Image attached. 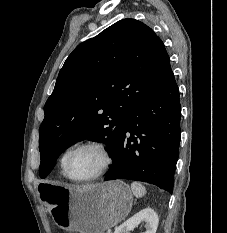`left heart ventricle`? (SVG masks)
<instances>
[{"label": "left heart ventricle", "mask_w": 227, "mask_h": 233, "mask_svg": "<svg viewBox=\"0 0 227 233\" xmlns=\"http://www.w3.org/2000/svg\"><path fill=\"white\" fill-rule=\"evenodd\" d=\"M103 156L95 148H82L76 151L69 159V172L75 179L92 176L103 165Z\"/></svg>", "instance_id": "1"}]
</instances>
